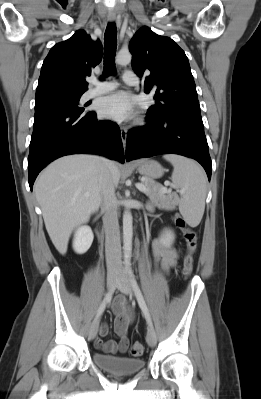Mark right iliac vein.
Wrapping results in <instances>:
<instances>
[{
    "instance_id": "63e3f726",
    "label": "right iliac vein",
    "mask_w": 261,
    "mask_h": 399,
    "mask_svg": "<svg viewBox=\"0 0 261 399\" xmlns=\"http://www.w3.org/2000/svg\"><path fill=\"white\" fill-rule=\"evenodd\" d=\"M117 281H118V276L116 274L108 275L107 286L110 291H112L115 288ZM98 327H99V321L96 319L92 322V324L90 325V328H89L88 336L91 340H93L95 338V336L97 335Z\"/></svg>"
}]
</instances>
